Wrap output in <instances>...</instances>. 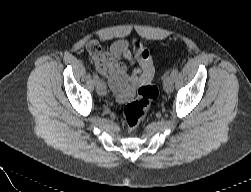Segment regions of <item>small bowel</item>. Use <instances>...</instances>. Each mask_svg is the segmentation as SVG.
<instances>
[{
	"label": "small bowel",
	"mask_w": 251,
	"mask_h": 192,
	"mask_svg": "<svg viewBox=\"0 0 251 192\" xmlns=\"http://www.w3.org/2000/svg\"><path fill=\"white\" fill-rule=\"evenodd\" d=\"M91 63L97 73L105 78L119 101L132 98L135 88L150 82L154 67L149 51L137 45L132 52L125 40H117L108 49L103 48L96 40L87 45ZM123 60L136 65L132 73L127 71Z\"/></svg>",
	"instance_id": "obj_1"
}]
</instances>
